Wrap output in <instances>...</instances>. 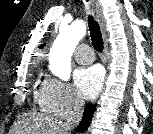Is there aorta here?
<instances>
[{
    "label": "aorta",
    "mask_w": 153,
    "mask_h": 134,
    "mask_svg": "<svg viewBox=\"0 0 153 134\" xmlns=\"http://www.w3.org/2000/svg\"><path fill=\"white\" fill-rule=\"evenodd\" d=\"M85 33V23L76 20L69 26L60 29V34L51 48L49 56L51 72L63 81L70 79L71 55Z\"/></svg>",
    "instance_id": "aorta-1"
}]
</instances>
